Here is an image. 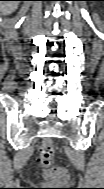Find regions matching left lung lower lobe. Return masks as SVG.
I'll return each instance as SVG.
<instances>
[{"label":"left lung lower lobe","mask_w":104,"mask_h":189,"mask_svg":"<svg viewBox=\"0 0 104 189\" xmlns=\"http://www.w3.org/2000/svg\"><path fill=\"white\" fill-rule=\"evenodd\" d=\"M87 1H103V0H87Z\"/></svg>","instance_id":"left-lung-lower-lobe-1"}]
</instances>
